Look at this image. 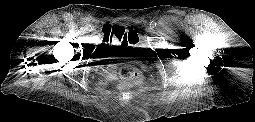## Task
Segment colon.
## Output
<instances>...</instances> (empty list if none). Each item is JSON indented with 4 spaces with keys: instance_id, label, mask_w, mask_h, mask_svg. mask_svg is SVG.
<instances>
[{
    "instance_id": "obj_1",
    "label": "colon",
    "mask_w": 255,
    "mask_h": 122,
    "mask_svg": "<svg viewBox=\"0 0 255 122\" xmlns=\"http://www.w3.org/2000/svg\"><path fill=\"white\" fill-rule=\"evenodd\" d=\"M103 31L106 35L117 37L121 42H135L137 38V34L132 27L109 25ZM119 76L118 88L121 90L133 87L141 81L140 71L131 64H123L119 69Z\"/></svg>"
}]
</instances>
